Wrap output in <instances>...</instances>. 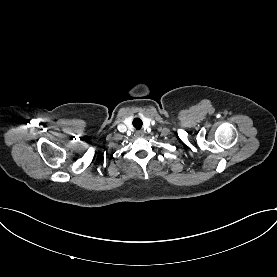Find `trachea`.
Masks as SVG:
<instances>
[{
	"label": "trachea",
	"mask_w": 277,
	"mask_h": 277,
	"mask_svg": "<svg viewBox=\"0 0 277 277\" xmlns=\"http://www.w3.org/2000/svg\"><path fill=\"white\" fill-rule=\"evenodd\" d=\"M132 123L135 129L140 130L142 128L143 122L140 118H134Z\"/></svg>",
	"instance_id": "obj_1"
}]
</instances>
